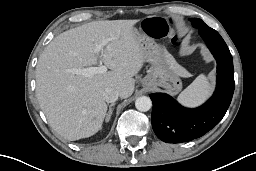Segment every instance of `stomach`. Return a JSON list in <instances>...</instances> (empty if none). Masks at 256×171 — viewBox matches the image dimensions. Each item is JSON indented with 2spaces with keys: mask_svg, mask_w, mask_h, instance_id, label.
<instances>
[{
  "mask_svg": "<svg viewBox=\"0 0 256 171\" xmlns=\"http://www.w3.org/2000/svg\"><path fill=\"white\" fill-rule=\"evenodd\" d=\"M133 30L142 48L144 61L150 64L148 74L142 81L143 86L163 87L171 95H176L182 89V82L174 70L173 57L143 30Z\"/></svg>",
  "mask_w": 256,
  "mask_h": 171,
  "instance_id": "1",
  "label": "stomach"
}]
</instances>
